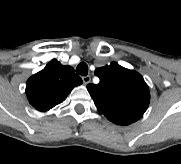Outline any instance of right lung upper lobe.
<instances>
[{
	"label": "right lung upper lobe",
	"instance_id": "1",
	"mask_svg": "<svg viewBox=\"0 0 181 164\" xmlns=\"http://www.w3.org/2000/svg\"><path fill=\"white\" fill-rule=\"evenodd\" d=\"M81 83L82 79L71 66H64L53 59L27 80L26 95L34 108L44 112L63 102Z\"/></svg>",
	"mask_w": 181,
	"mask_h": 164
}]
</instances>
